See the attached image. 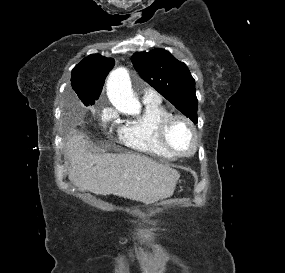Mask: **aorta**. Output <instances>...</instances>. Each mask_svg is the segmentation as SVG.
<instances>
[{"label": "aorta", "instance_id": "762f6f07", "mask_svg": "<svg viewBox=\"0 0 285 273\" xmlns=\"http://www.w3.org/2000/svg\"><path fill=\"white\" fill-rule=\"evenodd\" d=\"M107 95L112 105L120 112L129 115L140 113L141 105L132 91L127 69L120 67L110 73Z\"/></svg>", "mask_w": 285, "mask_h": 273}]
</instances>
